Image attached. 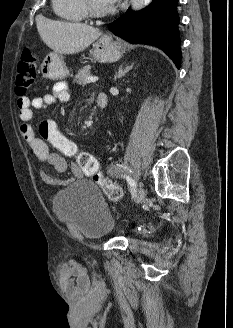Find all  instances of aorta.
Returning a JSON list of instances; mask_svg holds the SVG:
<instances>
[{"mask_svg": "<svg viewBox=\"0 0 233 328\" xmlns=\"http://www.w3.org/2000/svg\"><path fill=\"white\" fill-rule=\"evenodd\" d=\"M151 0H131L132 9L135 11L140 10L143 6L148 5Z\"/></svg>", "mask_w": 233, "mask_h": 328, "instance_id": "aorta-1", "label": "aorta"}]
</instances>
